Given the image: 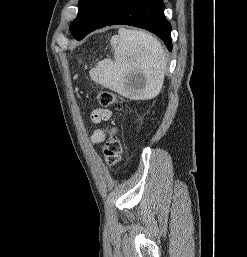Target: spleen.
I'll return each instance as SVG.
<instances>
[{"label": "spleen", "mask_w": 247, "mask_h": 257, "mask_svg": "<svg viewBox=\"0 0 247 257\" xmlns=\"http://www.w3.org/2000/svg\"><path fill=\"white\" fill-rule=\"evenodd\" d=\"M115 62L104 59L90 71L98 84L132 99H152L163 86L166 72L164 49L155 37L141 30L120 28L111 38ZM133 73H140L144 84L138 91H131L128 80Z\"/></svg>", "instance_id": "1"}]
</instances>
